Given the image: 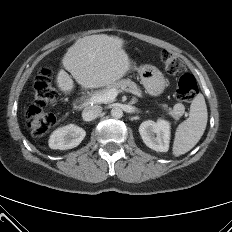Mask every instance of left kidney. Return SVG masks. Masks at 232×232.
<instances>
[{
    "instance_id": "5707ae66",
    "label": "left kidney",
    "mask_w": 232,
    "mask_h": 232,
    "mask_svg": "<svg viewBox=\"0 0 232 232\" xmlns=\"http://www.w3.org/2000/svg\"><path fill=\"white\" fill-rule=\"evenodd\" d=\"M139 133L143 142L157 152H167L170 142V123L163 119L157 122L147 120L141 123Z\"/></svg>"
}]
</instances>
